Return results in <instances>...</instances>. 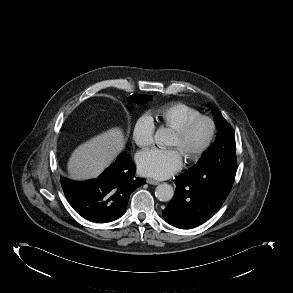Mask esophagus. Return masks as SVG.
Returning a JSON list of instances; mask_svg holds the SVG:
<instances>
[{
	"label": "esophagus",
	"mask_w": 293,
	"mask_h": 293,
	"mask_svg": "<svg viewBox=\"0 0 293 293\" xmlns=\"http://www.w3.org/2000/svg\"><path fill=\"white\" fill-rule=\"evenodd\" d=\"M147 183L151 185H158L160 182L154 179H147Z\"/></svg>",
	"instance_id": "1"
}]
</instances>
